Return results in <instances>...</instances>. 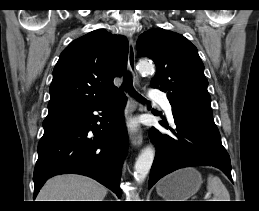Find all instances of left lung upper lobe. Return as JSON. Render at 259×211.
Returning a JSON list of instances; mask_svg holds the SVG:
<instances>
[{"instance_id": "5c2ea615", "label": "left lung upper lobe", "mask_w": 259, "mask_h": 211, "mask_svg": "<svg viewBox=\"0 0 259 211\" xmlns=\"http://www.w3.org/2000/svg\"><path fill=\"white\" fill-rule=\"evenodd\" d=\"M138 55L157 67L151 87L167 92L172 107L213 116L204 65L196 47L184 36L162 28L141 34Z\"/></svg>"}]
</instances>
